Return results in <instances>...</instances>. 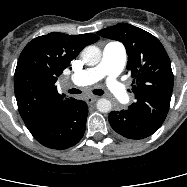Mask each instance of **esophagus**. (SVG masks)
I'll use <instances>...</instances> for the list:
<instances>
[{"mask_svg": "<svg viewBox=\"0 0 187 187\" xmlns=\"http://www.w3.org/2000/svg\"><path fill=\"white\" fill-rule=\"evenodd\" d=\"M99 99L98 96H89L86 98V102L87 104H93L95 101H97Z\"/></svg>", "mask_w": 187, "mask_h": 187, "instance_id": "obj_1", "label": "esophagus"}]
</instances>
